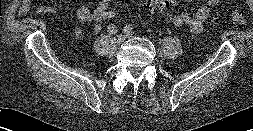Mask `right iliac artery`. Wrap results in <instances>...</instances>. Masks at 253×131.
Instances as JSON below:
<instances>
[{
	"mask_svg": "<svg viewBox=\"0 0 253 131\" xmlns=\"http://www.w3.org/2000/svg\"><path fill=\"white\" fill-rule=\"evenodd\" d=\"M107 29L110 34H116L118 32V29L115 24H110Z\"/></svg>",
	"mask_w": 253,
	"mask_h": 131,
	"instance_id": "1",
	"label": "right iliac artery"
}]
</instances>
